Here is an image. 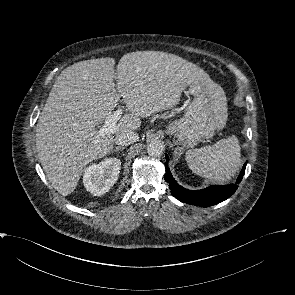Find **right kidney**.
<instances>
[{
    "mask_svg": "<svg viewBox=\"0 0 295 295\" xmlns=\"http://www.w3.org/2000/svg\"><path fill=\"white\" fill-rule=\"evenodd\" d=\"M120 167L121 161L117 158H105L98 164L90 165L84 171V187L94 196L105 194L116 183Z\"/></svg>",
    "mask_w": 295,
    "mask_h": 295,
    "instance_id": "right-kidney-1",
    "label": "right kidney"
}]
</instances>
